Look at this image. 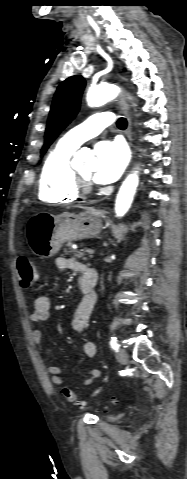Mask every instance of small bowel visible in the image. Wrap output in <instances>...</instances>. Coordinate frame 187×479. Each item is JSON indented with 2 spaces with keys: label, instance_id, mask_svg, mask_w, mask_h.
<instances>
[{
  "label": "small bowel",
  "instance_id": "small-bowel-1",
  "mask_svg": "<svg viewBox=\"0 0 187 479\" xmlns=\"http://www.w3.org/2000/svg\"><path fill=\"white\" fill-rule=\"evenodd\" d=\"M54 264L58 271L63 272L66 270H71L79 273L80 279L78 282V287H81V284L87 274V271L91 268L87 267L83 263L79 262L74 258L68 257H57L54 261ZM93 270V269H91ZM96 302V296L92 294L91 296H85L82 294L81 301L77 307L72 326L75 332L78 334H83L86 325L88 324L90 317L94 311ZM52 303L48 296L41 295L38 296L33 304V311L30 314L29 321L33 327L31 332V340L38 349V351L43 350L42 346V332L40 325L43 321L47 320L51 316ZM82 351L87 357H93L96 354V346L92 341L84 340L82 343ZM46 371L49 373L52 383L56 385L63 384V379L61 377V370L57 366L46 364ZM102 376V372L98 369L89 370L86 377L82 380V385L84 387L91 386L94 381Z\"/></svg>",
  "mask_w": 187,
  "mask_h": 479
}]
</instances>
